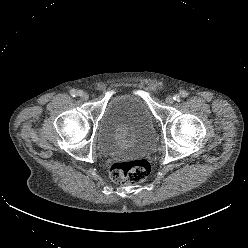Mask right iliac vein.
Returning a JSON list of instances; mask_svg holds the SVG:
<instances>
[{"label": "right iliac vein", "mask_w": 248, "mask_h": 248, "mask_svg": "<svg viewBox=\"0 0 248 248\" xmlns=\"http://www.w3.org/2000/svg\"><path fill=\"white\" fill-rule=\"evenodd\" d=\"M81 99L82 100H88V98H89V95H88V93H86V92H81Z\"/></svg>", "instance_id": "right-iliac-vein-1"}]
</instances>
